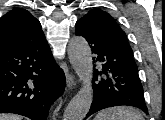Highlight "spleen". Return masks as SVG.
<instances>
[{"label": "spleen", "instance_id": "1", "mask_svg": "<svg viewBox=\"0 0 165 120\" xmlns=\"http://www.w3.org/2000/svg\"><path fill=\"white\" fill-rule=\"evenodd\" d=\"M94 120H144V118L132 107L119 106L99 112Z\"/></svg>", "mask_w": 165, "mask_h": 120}]
</instances>
